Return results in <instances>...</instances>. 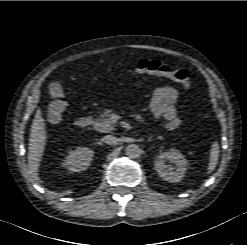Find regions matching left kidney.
<instances>
[{
	"instance_id": "left-kidney-1",
	"label": "left kidney",
	"mask_w": 247,
	"mask_h": 245,
	"mask_svg": "<svg viewBox=\"0 0 247 245\" xmlns=\"http://www.w3.org/2000/svg\"><path fill=\"white\" fill-rule=\"evenodd\" d=\"M166 162L174 163V166L166 165ZM154 166L159 176L165 181L179 182L185 176L188 161L179 150L170 149L155 159Z\"/></svg>"
}]
</instances>
